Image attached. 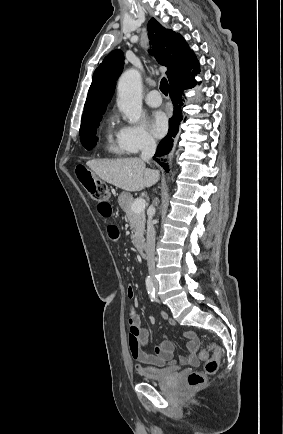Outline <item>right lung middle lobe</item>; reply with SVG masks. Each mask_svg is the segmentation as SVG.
I'll use <instances>...</instances> for the list:
<instances>
[{"label": "right lung middle lobe", "mask_w": 283, "mask_h": 434, "mask_svg": "<svg viewBox=\"0 0 283 434\" xmlns=\"http://www.w3.org/2000/svg\"><path fill=\"white\" fill-rule=\"evenodd\" d=\"M100 120L101 118L95 122L81 125L80 127V132H79L80 141L87 150H91L96 145V141H97L96 133H97V127L99 126Z\"/></svg>", "instance_id": "obj_1"}]
</instances>
